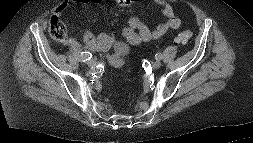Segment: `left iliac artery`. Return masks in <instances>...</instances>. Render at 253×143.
Segmentation results:
<instances>
[{"label":"left iliac artery","instance_id":"left-iliac-artery-1","mask_svg":"<svg viewBox=\"0 0 253 143\" xmlns=\"http://www.w3.org/2000/svg\"><path fill=\"white\" fill-rule=\"evenodd\" d=\"M155 58H156V60H160L162 58V54L161 53H157L155 55Z\"/></svg>","mask_w":253,"mask_h":143}]
</instances>
